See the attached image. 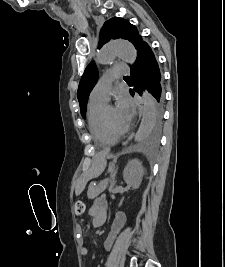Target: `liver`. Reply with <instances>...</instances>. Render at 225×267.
Masks as SVG:
<instances>
[{
    "label": "liver",
    "instance_id": "liver-1",
    "mask_svg": "<svg viewBox=\"0 0 225 267\" xmlns=\"http://www.w3.org/2000/svg\"><path fill=\"white\" fill-rule=\"evenodd\" d=\"M106 154H107L106 152H102L96 155L94 164L89 172V177L99 176L104 171L106 166V161H105Z\"/></svg>",
    "mask_w": 225,
    "mask_h": 267
}]
</instances>
